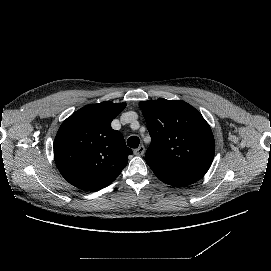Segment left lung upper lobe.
Masks as SVG:
<instances>
[{
	"instance_id": "5c2ea615",
	"label": "left lung upper lobe",
	"mask_w": 271,
	"mask_h": 271,
	"mask_svg": "<svg viewBox=\"0 0 271 271\" xmlns=\"http://www.w3.org/2000/svg\"><path fill=\"white\" fill-rule=\"evenodd\" d=\"M139 106L152 139L145 160L201 173L208 171L215 142L198 110L184 101L167 99L142 101Z\"/></svg>"
}]
</instances>
